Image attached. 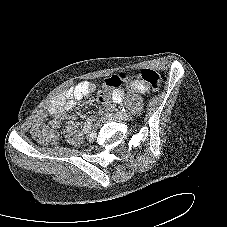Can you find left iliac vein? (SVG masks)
<instances>
[{
	"label": "left iliac vein",
	"instance_id": "obj_1",
	"mask_svg": "<svg viewBox=\"0 0 227 227\" xmlns=\"http://www.w3.org/2000/svg\"><path fill=\"white\" fill-rule=\"evenodd\" d=\"M129 114H122V113H116V114H106L105 119L108 121H125L129 119Z\"/></svg>",
	"mask_w": 227,
	"mask_h": 227
}]
</instances>
